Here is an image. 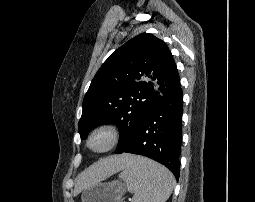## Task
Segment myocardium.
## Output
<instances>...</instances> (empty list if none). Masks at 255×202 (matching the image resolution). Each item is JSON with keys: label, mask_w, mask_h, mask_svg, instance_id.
<instances>
[{"label": "myocardium", "mask_w": 255, "mask_h": 202, "mask_svg": "<svg viewBox=\"0 0 255 202\" xmlns=\"http://www.w3.org/2000/svg\"><path fill=\"white\" fill-rule=\"evenodd\" d=\"M98 136L106 137V144L101 148H94L92 141ZM120 141V130L119 128L111 123L101 124L95 127L88 135L86 139V146L94 153H106L112 150Z\"/></svg>", "instance_id": "f54148a6"}]
</instances>
